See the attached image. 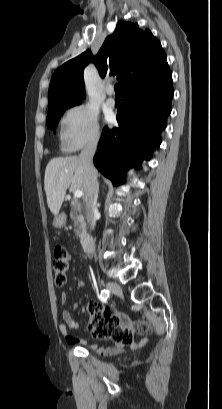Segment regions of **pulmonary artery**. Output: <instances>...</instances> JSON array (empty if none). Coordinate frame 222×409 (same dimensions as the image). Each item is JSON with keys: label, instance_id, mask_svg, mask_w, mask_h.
<instances>
[{"label": "pulmonary artery", "instance_id": "e3ab8cb5", "mask_svg": "<svg viewBox=\"0 0 222 409\" xmlns=\"http://www.w3.org/2000/svg\"><path fill=\"white\" fill-rule=\"evenodd\" d=\"M107 99H106V103L108 106L113 107L115 105V99L113 97V88L112 86H109L107 89Z\"/></svg>", "mask_w": 222, "mask_h": 409}]
</instances>
